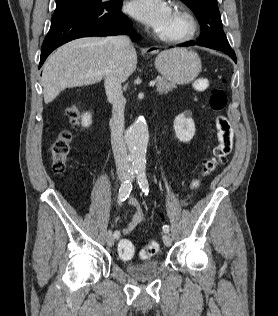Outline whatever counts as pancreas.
Returning <instances> with one entry per match:
<instances>
[{"mask_svg":"<svg viewBox=\"0 0 278 316\" xmlns=\"http://www.w3.org/2000/svg\"><path fill=\"white\" fill-rule=\"evenodd\" d=\"M157 92L160 94H167L169 91H172L176 85L174 83L168 82L164 77H157Z\"/></svg>","mask_w":278,"mask_h":316,"instance_id":"cf45deb5","label":"pancreas"}]
</instances>
